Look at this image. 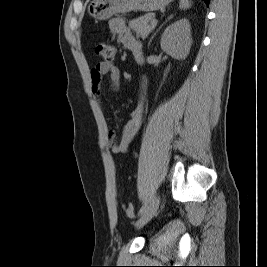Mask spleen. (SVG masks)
<instances>
[{
    "mask_svg": "<svg viewBox=\"0 0 267 267\" xmlns=\"http://www.w3.org/2000/svg\"><path fill=\"white\" fill-rule=\"evenodd\" d=\"M180 9H187L190 7V2L189 0H180Z\"/></svg>",
    "mask_w": 267,
    "mask_h": 267,
    "instance_id": "1",
    "label": "spleen"
}]
</instances>
